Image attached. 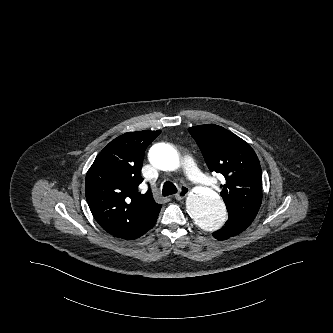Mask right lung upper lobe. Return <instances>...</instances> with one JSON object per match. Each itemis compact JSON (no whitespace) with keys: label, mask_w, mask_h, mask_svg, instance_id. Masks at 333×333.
Listing matches in <instances>:
<instances>
[{"label":"right lung upper lobe","mask_w":333,"mask_h":333,"mask_svg":"<svg viewBox=\"0 0 333 333\" xmlns=\"http://www.w3.org/2000/svg\"><path fill=\"white\" fill-rule=\"evenodd\" d=\"M161 131L125 133L96 157L86 175L85 195L99 225L109 234L133 240L161 209L148 190L138 192L144 152Z\"/></svg>","instance_id":"cb5924a9"}]
</instances>
